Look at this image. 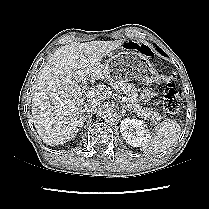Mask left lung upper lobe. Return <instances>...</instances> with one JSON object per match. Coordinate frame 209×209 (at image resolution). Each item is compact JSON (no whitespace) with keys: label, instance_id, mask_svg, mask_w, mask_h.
<instances>
[{"label":"left lung upper lobe","instance_id":"left-lung-upper-lobe-1","mask_svg":"<svg viewBox=\"0 0 209 209\" xmlns=\"http://www.w3.org/2000/svg\"><path fill=\"white\" fill-rule=\"evenodd\" d=\"M156 49H157L162 55H165L164 52H163L158 46H156Z\"/></svg>","mask_w":209,"mask_h":209}]
</instances>
